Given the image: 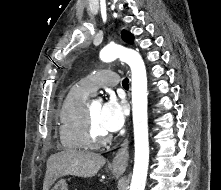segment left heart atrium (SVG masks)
<instances>
[{"label": "left heart atrium", "mask_w": 221, "mask_h": 190, "mask_svg": "<svg viewBox=\"0 0 221 190\" xmlns=\"http://www.w3.org/2000/svg\"><path fill=\"white\" fill-rule=\"evenodd\" d=\"M125 121L124 104L111 97L102 106L100 114V125L107 133L120 130Z\"/></svg>", "instance_id": "obj_1"}]
</instances>
